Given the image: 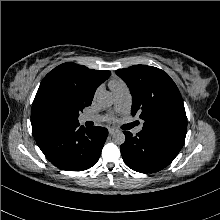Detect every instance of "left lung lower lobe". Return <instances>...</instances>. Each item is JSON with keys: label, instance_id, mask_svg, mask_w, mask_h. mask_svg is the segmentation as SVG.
<instances>
[{"label": "left lung lower lobe", "instance_id": "obj_1", "mask_svg": "<svg viewBox=\"0 0 220 220\" xmlns=\"http://www.w3.org/2000/svg\"><path fill=\"white\" fill-rule=\"evenodd\" d=\"M125 142L120 146L125 164L141 173L157 172L168 166L180 150L142 132L133 136L124 131Z\"/></svg>", "mask_w": 220, "mask_h": 220}]
</instances>
